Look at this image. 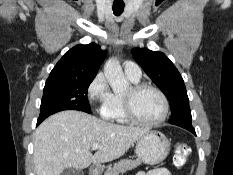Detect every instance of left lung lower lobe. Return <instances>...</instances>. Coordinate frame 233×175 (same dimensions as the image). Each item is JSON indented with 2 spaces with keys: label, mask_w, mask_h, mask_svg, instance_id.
<instances>
[{
  "label": "left lung lower lobe",
  "mask_w": 233,
  "mask_h": 175,
  "mask_svg": "<svg viewBox=\"0 0 233 175\" xmlns=\"http://www.w3.org/2000/svg\"><path fill=\"white\" fill-rule=\"evenodd\" d=\"M185 129L189 130V131L192 132L194 135H196L195 130H194L193 127H189V128H185Z\"/></svg>",
  "instance_id": "1"
}]
</instances>
